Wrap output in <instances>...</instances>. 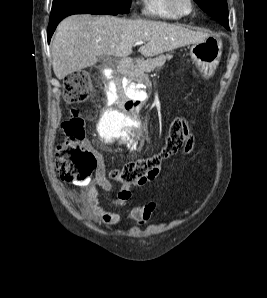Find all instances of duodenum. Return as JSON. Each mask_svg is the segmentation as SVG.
Wrapping results in <instances>:
<instances>
[{"label":"duodenum","instance_id":"obj_1","mask_svg":"<svg viewBox=\"0 0 267 298\" xmlns=\"http://www.w3.org/2000/svg\"><path fill=\"white\" fill-rule=\"evenodd\" d=\"M131 65V59H122L118 67L115 68V75H110L111 84L107 85L108 89L115 92V97L120 99L112 101L113 112H119V115H136V112H140L143 105V100H140V98L128 97L126 87L121 81V76H129L128 69Z\"/></svg>","mask_w":267,"mask_h":298}]
</instances>
